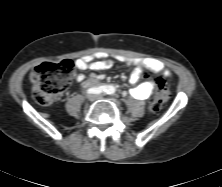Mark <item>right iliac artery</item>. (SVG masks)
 Instances as JSON below:
<instances>
[{"label": "right iliac artery", "mask_w": 222, "mask_h": 187, "mask_svg": "<svg viewBox=\"0 0 222 187\" xmlns=\"http://www.w3.org/2000/svg\"><path fill=\"white\" fill-rule=\"evenodd\" d=\"M106 89H107L106 86H101V87H98V88H89L87 90V93H89V94H98V93H101L103 91L105 92Z\"/></svg>", "instance_id": "obj_1"}]
</instances>
